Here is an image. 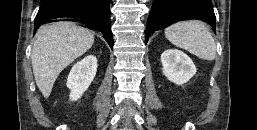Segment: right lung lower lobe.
<instances>
[{"label": "right lung lower lobe", "mask_w": 257, "mask_h": 130, "mask_svg": "<svg viewBox=\"0 0 257 130\" xmlns=\"http://www.w3.org/2000/svg\"><path fill=\"white\" fill-rule=\"evenodd\" d=\"M56 21L79 22L91 30L100 31L113 48L110 0H42L35 18V29Z\"/></svg>", "instance_id": "right-lung-lower-lobe-1"}]
</instances>
